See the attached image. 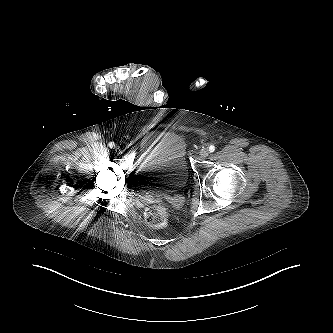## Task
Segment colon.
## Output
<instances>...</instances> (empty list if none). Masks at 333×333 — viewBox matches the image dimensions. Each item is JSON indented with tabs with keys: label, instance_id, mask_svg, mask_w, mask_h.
I'll return each mask as SVG.
<instances>
[{
	"label": "colon",
	"instance_id": "5ec220e1",
	"mask_svg": "<svg viewBox=\"0 0 333 333\" xmlns=\"http://www.w3.org/2000/svg\"><path fill=\"white\" fill-rule=\"evenodd\" d=\"M170 219V213L164 206H151L145 211V221L148 226L160 229L167 226Z\"/></svg>",
	"mask_w": 333,
	"mask_h": 333
}]
</instances>
